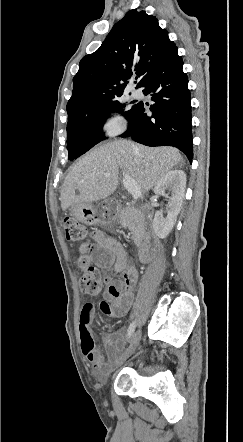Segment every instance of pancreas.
I'll return each mask as SVG.
<instances>
[{"label": "pancreas", "instance_id": "obj_1", "mask_svg": "<svg viewBox=\"0 0 243 442\" xmlns=\"http://www.w3.org/2000/svg\"><path fill=\"white\" fill-rule=\"evenodd\" d=\"M117 222L121 227H127L131 231L135 244L140 243L143 230L142 222L133 207L128 206L121 209Z\"/></svg>", "mask_w": 243, "mask_h": 442}]
</instances>
